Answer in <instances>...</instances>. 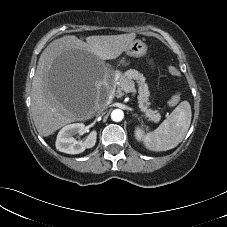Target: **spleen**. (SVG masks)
I'll use <instances>...</instances> for the list:
<instances>
[{
	"mask_svg": "<svg viewBox=\"0 0 227 227\" xmlns=\"http://www.w3.org/2000/svg\"><path fill=\"white\" fill-rule=\"evenodd\" d=\"M191 106L182 101L160 126L146 134L143 141L151 151H167L175 148L184 139L191 123Z\"/></svg>",
	"mask_w": 227,
	"mask_h": 227,
	"instance_id": "obj_1",
	"label": "spleen"
}]
</instances>
